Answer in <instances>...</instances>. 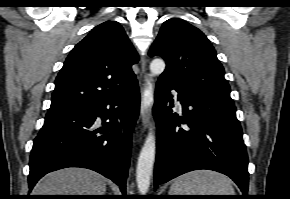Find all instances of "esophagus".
Segmentation results:
<instances>
[{
  "label": "esophagus",
  "instance_id": "34e87169",
  "mask_svg": "<svg viewBox=\"0 0 290 199\" xmlns=\"http://www.w3.org/2000/svg\"><path fill=\"white\" fill-rule=\"evenodd\" d=\"M142 76L144 80L141 91L140 118L144 128H146L149 122L151 105L154 98V81L152 77L145 72V60L142 62Z\"/></svg>",
  "mask_w": 290,
  "mask_h": 199
}]
</instances>
